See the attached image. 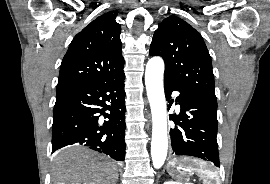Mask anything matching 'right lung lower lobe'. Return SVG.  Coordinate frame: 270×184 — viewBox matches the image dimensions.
Wrapping results in <instances>:
<instances>
[{
  "label": "right lung lower lobe",
  "mask_w": 270,
  "mask_h": 184,
  "mask_svg": "<svg viewBox=\"0 0 270 184\" xmlns=\"http://www.w3.org/2000/svg\"><path fill=\"white\" fill-rule=\"evenodd\" d=\"M124 72L103 81L57 91L52 153L83 144L117 161L125 158ZM108 118L101 122L100 116Z\"/></svg>",
  "instance_id": "obj_1"
}]
</instances>
